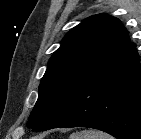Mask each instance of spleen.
Segmentation results:
<instances>
[{
	"label": "spleen",
	"instance_id": "obj_1",
	"mask_svg": "<svg viewBox=\"0 0 141 139\" xmlns=\"http://www.w3.org/2000/svg\"><path fill=\"white\" fill-rule=\"evenodd\" d=\"M69 139H113V137L98 130H83L72 133Z\"/></svg>",
	"mask_w": 141,
	"mask_h": 139
}]
</instances>
